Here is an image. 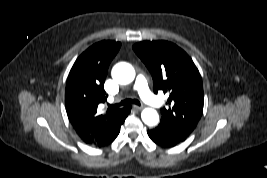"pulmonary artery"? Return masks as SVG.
<instances>
[{"label": "pulmonary artery", "instance_id": "1", "mask_svg": "<svg viewBox=\"0 0 267 178\" xmlns=\"http://www.w3.org/2000/svg\"><path fill=\"white\" fill-rule=\"evenodd\" d=\"M134 89L147 104L154 107L162 106L163 101L150 91L146 78L143 75H138L136 77Z\"/></svg>", "mask_w": 267, "mask_h": 178}]
</instances>
